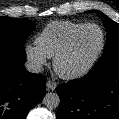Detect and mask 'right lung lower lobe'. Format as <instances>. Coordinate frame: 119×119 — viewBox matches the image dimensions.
<instances>
[{"instance_id": "1", "label": "right lung lower lobe", "mask_w": 119, "mask_h": 119, "mask_svg": "<svg viewBox=\"0 0 119 119\" xmlns=\"http://www.w3.org/2000/svg\"><path fill=\"white\" fill-rule=\"evenodd\" d=\"M25 60L0 55V119H25L45 95L46 77L28 72Z\"/></svg>"}]
</instances>
